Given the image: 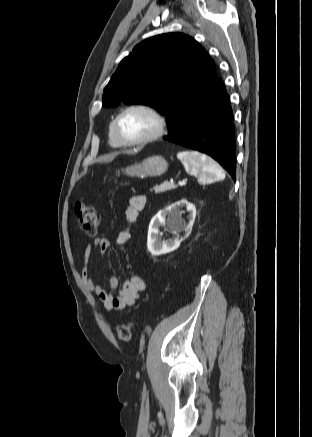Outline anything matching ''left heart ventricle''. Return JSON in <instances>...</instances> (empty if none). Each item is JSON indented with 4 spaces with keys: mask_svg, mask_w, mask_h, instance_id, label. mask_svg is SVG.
I'll list each match as a JSON object with an SVG mask.
<instances>
[{
    "mask_svg": "<svg viewBox=\"0 0 312 437\" xmlns=\"http://www.w3.org/2000/svg\"><path fill=\"white\" fill-rule=\"evenodd\" d=\"M155 128V119L142 110H133L126 113L120 122V130L128 140L144 138L150 135Z\"/></svg>",
    "mask_w": 312,
    "mask_h": 437,
    "instance_id": "left-heart-ventricle-1",
    "label": "left heart ventricle"
}]
</instances>
